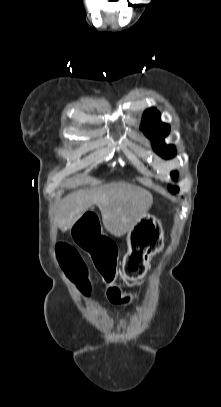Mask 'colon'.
Returning <instances> with one entry per match:
<instances>
[{
    "mask_svg": "<svg viewBox=\"0 0 221 407\" xmlns=\"http://www.w3.org/2000/svg\"><path fill=\"white\" fill-rule=\"evenodd\" d=\"M85 216H79L75 222V229L71 231V238L85 250L89 251L94 265L107 284H112L116 273L117 254L114 243L104 237L100 224V217L95 216L93 210H86ZM61 264L69 277L78 284L80 289L88 294L90 283L88 271L78 252L67 244H61L58 248ZM134 297V294H130ZM109 306H126L130 303L123 297L122 291L111 286L108 293Z\"/></svg>",
    "mask_w": 221,
    "mask_h": 407,
    "instance_id": "1",
    "label": "colon"
}]
</instances>
